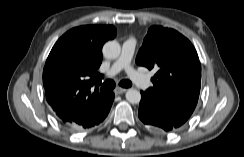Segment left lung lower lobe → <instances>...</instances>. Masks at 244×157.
I'll return each instance as SVG.
<instances>
[{
    "mask_svg": "<svg viewBox=\"0 0 244 157\" xmlns=\"http://www.w3.org/2000/svg\"><path fill=\"white\" fill-rule=\"evenodd\" d=\"M138 116L155 133H170L180 127L178 123L170 119L166 111L152 97L143 91H141Z\"/></svg>",
    "mask_w": 244,
    "mask_h": 157,
    "instance_id": "0a47b994",
    "label": "left lung lower lobe"
}]
</instances>
